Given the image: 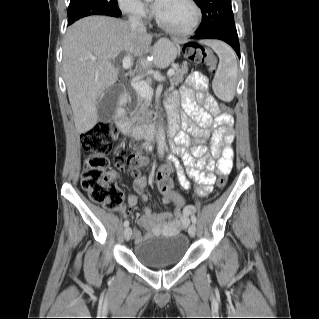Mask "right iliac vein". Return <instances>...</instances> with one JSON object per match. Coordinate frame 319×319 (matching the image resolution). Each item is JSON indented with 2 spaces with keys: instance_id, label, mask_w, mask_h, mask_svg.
<instances>
[{
  "instance_id": "63e3f726",
  "label": "right iliac vein",
  "mask_w": 319,
  "mask_h": 319,
  "mask_svg": "<svg viewBox=\"0 0 319 319\" xmlns=\"http://www.w3.org/2000/svg\"><path fill=\"white\" fill-rule=\"evenodd\" d=\"M132 235V229L130 227H126L124 230V238L126 241L130 240Z\"/></svg>"
}]
</instances>
